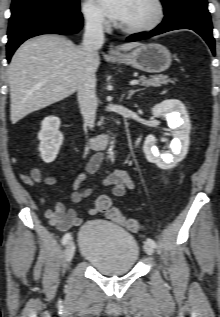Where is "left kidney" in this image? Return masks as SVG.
Returning <instances> with one entry per match:
<instances>
[{
    "mask_svg": "<svg viewBox=\"0 0 220 317\" xmlns=\"http://www.w3.org/2000/svg\"><path fill=\"white\" fill-rule=\"evenodd\" d=\"M154 117H165L168 126L176 129L170 143L171 153L160 154L155 146L156 139L153 135L146 137L143 150L149 162L156 164L161 169H170L180 162L186 155L189 146L190 121L183 103L179 100H165L152 108Z\"/></svg>",
    "mask_w": 220,
    "mask_h": 317,
    "instance_id": "5707ae66",
    "label": "left kidney"
}]
</instances>
